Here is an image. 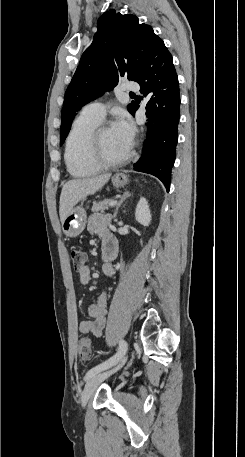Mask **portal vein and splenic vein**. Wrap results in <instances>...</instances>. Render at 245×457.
<instances>
[{
    "label": "portal vein and splenic vein",
    "mask_w": 245,
    "mask_h": 457,
    "mask_svg": "<svg viewBox=\"0 0 245 457\" xmlns=\"http://www.w3.org/2000/svg\"><path fill=\"white\" fill-rule=\"evenodd\" d=\"M110 206H114V204H117V200H111V202H109Z\"/></svg>",
    "instance_id": "18ae733b"
}]
</instances>
